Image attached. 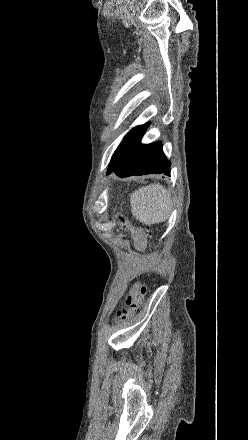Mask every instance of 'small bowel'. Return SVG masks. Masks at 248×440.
<instances>
[{
  "instance_id": "obj_1",
  "label": "small bowel",
  "mask_w": 248,
  "mask_h": 440,
  "mask_svg": "<svg viewBox=\"0 0 248 440\" xmlns=\"http://www.w3.org/2000/svg\"><path fill=\"white\" fill-rule=\"evenodd\" d=\"M133 236L137 240V242L139 243V241H140V232L138 230H134L133 231Z\"/></svg>"
}]
</instances>
